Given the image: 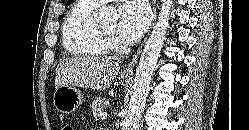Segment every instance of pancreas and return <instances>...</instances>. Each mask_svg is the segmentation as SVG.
<instances>
[{
    "label": "pancreas",
    "mask_w": 249,
    "mask_h": 130,
    "mask_svg": "<svg viewBox=\"0 0 249 130\" xmlns=\"http://www.w3.org/2000/svg\"><path fill=\"white\" fill-rule=\"evenodd\" d=\"M90 108L93 112V117L98 118L99 114L104 110L105 108V98L102 97H96L92 104L90 105Z\"/></svg>",
    "instance_id": "obj_1"
}]
</instances>
